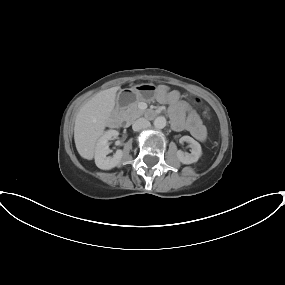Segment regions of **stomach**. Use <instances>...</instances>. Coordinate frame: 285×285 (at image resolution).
I'll return each mask as SVG.
<instances>
[{
  "instance_id": "stomach-1",
  "label": "stomach",
  "mask_w": 285,
  "mask_h": 285,
  "mask_svg": "<svg viewBox=\"0 0 285 285\" xmlns=\"http://www.w3.org/2000/svg\"><path fill=\"white\" fill-rule=\"evenodd\" d=\"M157 88L153 84H140L131 88L133 101H151L156 94Z\"/></svg>"
}]
</instances>
